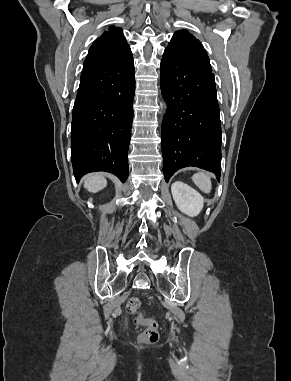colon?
<instances>
[{"label":"colon","instance_id":"obj_1","mask_svg":"<svg viewBox=\"0 0 291 381\" xmlns=\"http://www.w3.org/2000/svg\"><path fill=\"white\" fill-rule=\"evenodd\" d=\"M140 299L138 297H131L127 302V308L131 313L137 312L140 307ZM134 323L144 327L141 332L140 338L146 343H156L159 337L158 324L152 318H146L143 316H137Z\"/></svg>","mask_w":291,"mask_h":381}]
</instances>
